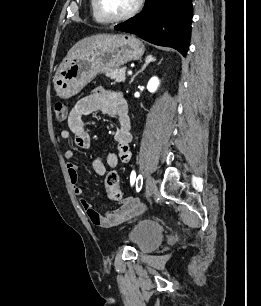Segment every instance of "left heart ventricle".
Returning a JSON list of instances; mask_svg holds the SVG:
<instances>
[{
    "label": "left heart ventricle",
    "mask_w": 261,
    "mask_h": 306,
    "mask_svg": "<svg viewBox=\"0 0 261 306\" xmlns=\"http://www.w3.org/2000/svg\"><path fill=\"white\" fill-rule=\"evenodd\" d=\"M136 0H102L105 11L113 16L127 13L133 8Z\"/></svg>",
    "instance_id": "left-heart-ventricle-1"
}]
</instances>
